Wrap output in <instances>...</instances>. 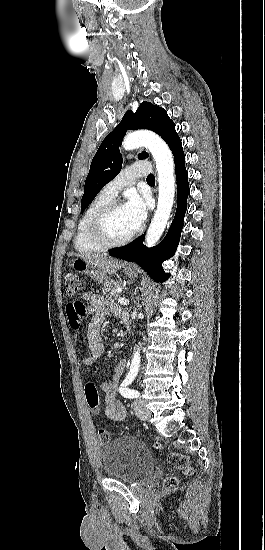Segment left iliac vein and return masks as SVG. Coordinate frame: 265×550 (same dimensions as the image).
I'll list each match as a JSON object with an SVG mask.
<instances>
[{"instance_id":"left-iliac-vein-1","label":"left iliac vein","mask_w":265,"mask_h":550,"mask_svg":"<svg viewBox=\"0 0 265 550\" xmlns=\"http://www.w3.org/2000/svg\"><path fill=\"white\" fill-rule=\"evenodd\" d=\"M134 411L141 420H148L151 416L149 409L145 407L140 399L134 401Z\"/></svg>"}]
</instances>
